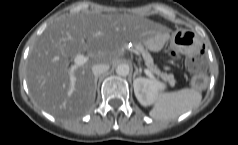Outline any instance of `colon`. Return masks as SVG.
Wrapping results in <instances>:
<instances>
[{
    "instance_id": "1",
    "label": "colon",
    "mask_w": 238,
    "mask_h": 145,
    "mask_svg": "<svg viewBox=\"0 0 238 145\" xmlns=\"http://www.w3.org/2000/svg\"><path fill=\"white\" fill-rule=\"evenodd\" d=\"M189 70L198 74L193 78V85L196 88H203L207 84V78L204 74L206 70L205 50L202 48L198 53L192 55L187 60Z\"/></svg>"
}]
</instances>
